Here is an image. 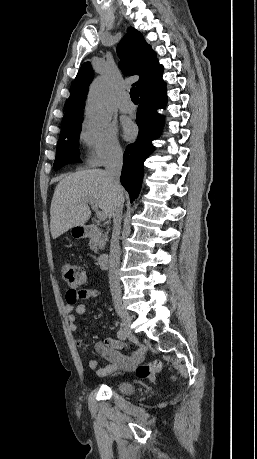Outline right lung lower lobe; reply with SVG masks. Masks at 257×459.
I'll use <instances>...</instances> for the list:
<instances>
[{
    "instance_id": "1",
    "label": "right lung lower lobe",
    "mask_w": 257,
    "mask_h": 459,
    "mask_svg": "<svg viewBox=\"0 0 257 459\" xmlns=\"http://www.w3.org/2000/svg\"><path fill=\"white\" fill-rule=\"evenodd\" d=\"M153 81L140 92V105L137 109L136 123L139 134L135 143L127 146L121 173V183L130 195V201L138 196L142 178L143 163L154 151L151 141L160 133L163 117L156 112L167 103L166 85L161 79Z\"/></svg>"
}]
</instances>
